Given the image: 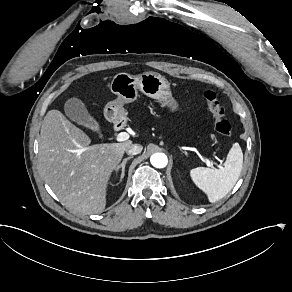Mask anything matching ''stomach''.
Here are the masks:
<instances>
[{
	"label": "stomach",
	"instance_id": "stomach-1",
	"mask_svg": "<svg viewBox=\"0 0 292 292\" xmlns=\"http://www.w3.org/2000/svg\"><path fill=\"white\" fill-rule=\"evenodd\" d=\"M110 90L118 97L108 102L104 108V116L109 122H116L125 116L123 105L135 101L138 90L157 99L172 112L178 110V103L171 95L170 83L157 72L148 71L139 75L118 73L111 81Z\"/></svg>",
	"mask_w": 292,
	"mask_h": 292
}]
</instances>
